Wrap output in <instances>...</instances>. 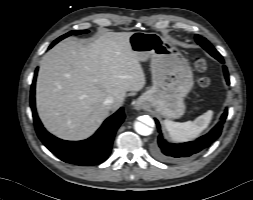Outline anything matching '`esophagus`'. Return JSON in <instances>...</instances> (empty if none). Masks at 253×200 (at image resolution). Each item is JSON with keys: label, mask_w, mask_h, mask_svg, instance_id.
Returning <instances> with one entry per match:
<instances>
[{"label": "esophagus", "mask_w": 253, "mask_h": 200, "mask_svg": "<svg viewBox=\"0 0 253 200\" xmlns=\"http://www.w3.org/2000/svg\"><path fill=\"white\" fill-rule=\"evenodd\" d=\"M133 105L136 110H141V109L145 108V106H146L145 102L141 98L134 101Z\"/></svg>", "instance_id": "esophagus-1"}]
</instances>
